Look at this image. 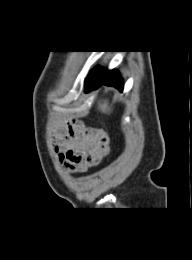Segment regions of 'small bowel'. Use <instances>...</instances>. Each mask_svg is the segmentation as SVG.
Wrapping results in <instances>:
<instances>
[{
    "mask_svg": "<svg viewBox=\"0 0 192 260\" xmlns=\"http://www.w3.org/2000/svg\"><path fill=\"white\" fill-rule=\"evenodd\" d=\"M54 148L64 168L71 174H80L97 166L107 155L108 138L101 129L69 120L59 126Z\"/></svg>",
    "mask_w": 192,
    "mask_h": 260,
    "instance_id": "small-bowel-1",
    "label": "small bowel"
}]
</instances>
